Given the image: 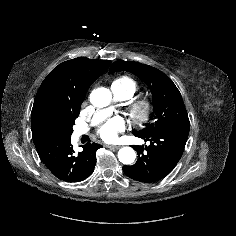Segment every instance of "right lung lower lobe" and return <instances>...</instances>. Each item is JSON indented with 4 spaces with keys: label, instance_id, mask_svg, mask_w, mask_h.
<instances>
[{
    "label": "right lung lower lobe",
    "instance_id": "right-lung-lower-lobe-1",
    "mask_svg": "<svg viewBox=\"0 0 236 236\" xmlns=\"http://www.w3.org/2000/svg\"><path fill=\"white\" fill-rule=\"evenodd\" d=\"M32 137L41 161L58 179L78 182L93 173L96 151L101 145L87 143L82 152L75 154L70 137L52 134H34Z\"/></svg>",
    "mask_w": 236,
    "mask_h": 236
}]
</instances>
